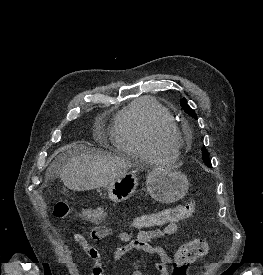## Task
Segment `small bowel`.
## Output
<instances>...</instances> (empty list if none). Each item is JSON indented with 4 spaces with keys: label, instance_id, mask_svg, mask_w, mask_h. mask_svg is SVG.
Listing matches in <instances>:
<instances>
[{
    "label": "small bowel",
    "instance_id": "obj_1",
    "mask_svg": "<svg viewBox=\"0 0 263 275\" xmlns=\"http://www.w3.org/2000/svg\"><path fill=\"white\" fill-rule=\"evenodd\" d=\"M178 228L177 223H169L164 226H157L151 230L140 229L134 237L127 233H119L118 238L123 241L124 244L116 247L111 252V258L113 261H118L132 251L145 253L157 259L154 265L159 275H172L173 257L168 254L163 247L154 244V242L175 234ZM112 233L110 228L98 226L90 231L89 238L97 241ZM73 240L93 261L91 275H105L104 262L99 251L81 234H75ZM188 272H186L187 275ZM132 275H144L139 264L133 265Z\"/></svg>",
    "mask_w": 263,
    "mask_h": 275
}]
</instances>
